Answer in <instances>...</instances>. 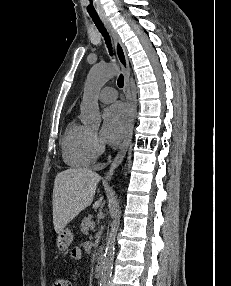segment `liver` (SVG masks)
<instances>
[{
	"instance_id": "1",
	"label": "liver",
	"mask_w": 231,
	"mask_h": 286,
	"mask_svg": "<svg viewBox=\"0 0 231 286\" xmlns=\"http://www.w3.org/2000/svg\"><path fill=\"white\" fill-rule=\"evenodd\" d=\"M101 176L86 168H70L58 173L53 188V225L61 232L81 211L90 206ZM102 197L93 207L98 208Z\"/></svg>"
}]
</instances>
